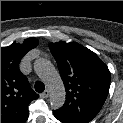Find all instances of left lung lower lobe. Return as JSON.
<instances>
[{
  "label": "left lung lower lobe",
  "mask_w": 123,
  "mask_h": 123,
  "mask_svg": "<svg viewBox=\"0 0 123 123\" xmlns=\"http://www.w3.org/2000/svg\"><path fill=\"white\" fill-rule=\"evenodd\" d=\"M53 114H54V116H55L59 121H61V122H63V123H73L72 121H69V120H67L66 118H64V117H62V116H60V115H58V114L55 113L54 111H53Z\"/></svg>",
  "instance_id": "0a47b994"
}]
</instances>
